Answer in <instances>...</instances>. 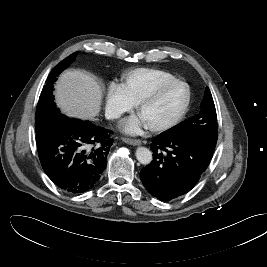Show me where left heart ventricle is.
<instances>
[{
	"mask_svg": "<svg viewBox=\"0 0 267 267\" xmlns=\"http://www.w3.org/2000/svg\"><path fill=\"white\" fill-rule=\"evenodd\" d=\"M187 97L183 85H174L166 89L156 100L140 111V117L146 125H154L174 117L183 107Z\"/></svg>",
	"mask_w": 267,
	"mask_h": 267,
	"instance_id": "left-heart-ventricle-1",
	"label": "left heart ventricle"
}]
</instances>
